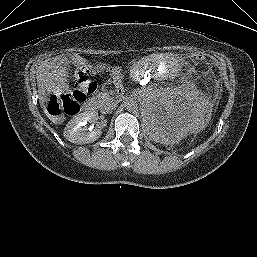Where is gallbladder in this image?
<instances>
[{"label":"gallbladder","instance_id":"1","mask_svg":"<svg viewBox=\"0 0 257 257\" xmlns=\"http://www.w3.org/2000/svg\"><path fill=\"white\" fill-rule=\"evenodd\" d=\"M56 65L59 69H70V62H69L68 58H66V57L59 59L56 62Z\"/></svg>","mask_w":257,"mask_h":257}]
</instances>
